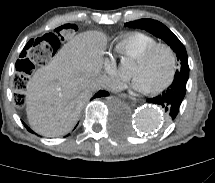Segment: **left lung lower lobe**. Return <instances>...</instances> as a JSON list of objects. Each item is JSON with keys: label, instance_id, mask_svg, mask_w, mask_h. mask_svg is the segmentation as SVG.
<instances>
[{"label": "left lung lower lobe", "instance_id": "obj_1", "mask_svg": "<svg viewBox=\"0 0 215 183\" xmlns=\"http://www.w3.org/2000/svg\"><path fill=\"white\" fill-rule=\"evenodd\" d=\"M187 76H177L160 95L150 98L147 101L160 105L164 108L168 121L175 119L179 112L180 105L186 93Z\"/></svg>", "mask_w": 215, "mask_h": 183}]
</instances>
